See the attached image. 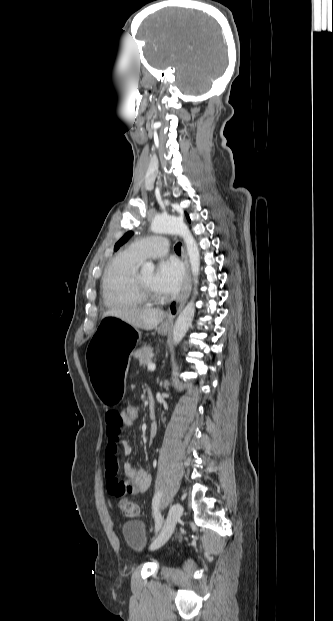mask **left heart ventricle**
<instances>
[{"label": "left heart ventricle", "mask_w": 333, "mask_h": 621, "mask_svg": "<svg viewBox=\"0 0 333 621\" xmlns=\"http://www.w3.org/2000/svg\"><path fill=\"white\" fill-rule=\"evenodd\" d=\"M138 278L140 282L146 288H148L151 292L157 295H161V296L163 295V293L154 284V272L153 271H146V272L139 273Z\"/></svg>", "instance_id": "1"}]
</instances>
